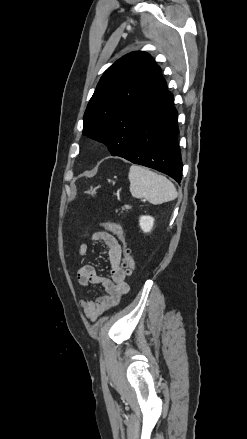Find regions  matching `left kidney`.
<instances>
[{
  "mask_svg": "<svg viewBox=\"0 0 247 439\" xmlns=\"http://www.w3.org/2000/svg\"><path fill=\"white\" fill-rule=\"evenodd\" d=\"M140 228L144 233H149L154 225V218L151 216H141L139 219Z\"/></svg>",
  "mask_w": 247,
  "mask_h": 439,
  "instance_id": "obj_1",
  "label": "left kidney"
}]
</instances>
